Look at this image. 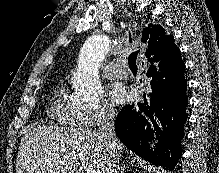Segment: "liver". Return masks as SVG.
Segmentation results:
<instances>
[{"mask_svg": "<svg viewBox=\"0 0 219 173\" xmlns=\"http://www.w3.org/2000/svg\"><path fill=\"white\" fill-rule=\"evenodd\" d=\"M119 157L125 146L118 142ZM110 157L98 132L90 129L38 126L22 138L16 173H106Z\"/></svg>", "mask_w": 219, "mask_h": 173, "instance_id": "liver-1", "label": "liver"}]
</instances>
